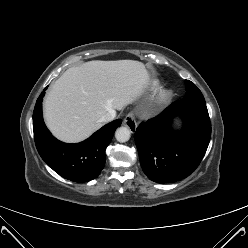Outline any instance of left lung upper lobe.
Wrapping results in <instances>:
<instances>
[{
    "instance_id": "left-lung-upper-lobe-1",
    "label": "left lung upper lobe",
    "mask_w": 248,
    "mask_h": 248,
    "mask_svg": "<svg viewBox=\"0 0 248 248\" xmlns=\"http://www.w3.org/2000/svg\"><path fill=\"white\" fill-rule=\"evenodd\" d=\"M186 84V96L189 94L201 93V91L189 80H185ZM185 96V97H186Z\"/></svg>"
}]
</instances>
